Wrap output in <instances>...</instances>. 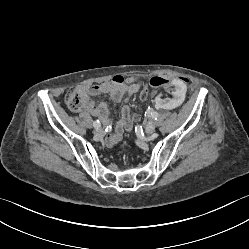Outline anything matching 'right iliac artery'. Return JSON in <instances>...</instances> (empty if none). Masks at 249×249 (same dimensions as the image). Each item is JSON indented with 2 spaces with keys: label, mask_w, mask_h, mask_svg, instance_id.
<instances>
[{
  "label": "right iliac artery",
  "mask_w": 249,
  "mask_h": 249,
  "mask_svg": "<svg viewBox=\"0 0 249 249\" xmlns=\"http://www.w3.org/2000/svg\"><path fill=\"white\" fill-rule=\"evenodd\" d=\"M93 126H94L95 128H99V127L101 126L100 121H99V120H95V121L93 122Z\"/></svg>",
  "instance_id": "obj_1"
}]
</instances>
